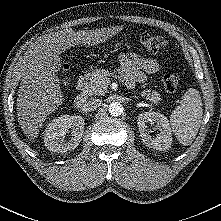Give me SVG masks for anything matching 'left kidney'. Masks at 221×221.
Returning a JSON list of instances; mask_svg holds the SVG:
<instances>
[{"label": "left kidney", "mask_w": 221, "mask_h": 221, "mask_svg": "<svg viewBox=\"0 0 221 221\" xmlns=\"http://www.w3.org/2000/svg\"><path fill=\"white\" fill-rule=\"evenodd\" d=\"M156 123L159 133L152 137L148 133L147 123ZM137 125L145 145L159 150H168L172 144V134L168 119L159 112H145L139 115Z\"/></svg>", "instance_id": "left-kidney-1"}]
</instances>
